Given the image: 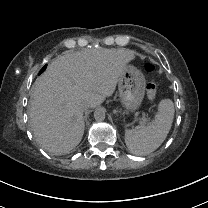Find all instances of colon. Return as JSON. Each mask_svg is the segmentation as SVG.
Masks as SVG:
<instances>
[{
  "instance_id": "5ec220e1",
  "label": "colon",
  "mask_w": 208,
  "mask_h": 208,
  "mask_svg": "<svg viewBox=\"0 0 208 208\" xmlns=\"http://www.w3.org/2000/svg\"><path fill=\"white\" fill-rule=\"evenodd\" d=\"M155 68H156L155 64L152 63L151 61H147L144 64V69L148 73H153L155 71ZM156 89H157L156 82L154 79H151L146 85L147 96L150 101H153L155 99Z\"/></svg>"
}]
</instances>
